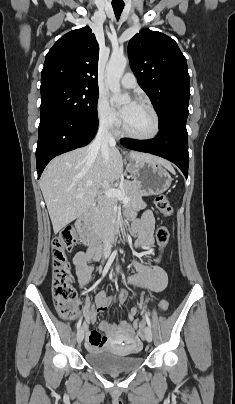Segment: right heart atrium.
Listing matches in <instances>:
<instances>
[{
  "label": "right heart atrium",
  "instance_id": "d8ad5b80",
  "mask_svg": "<svg viewBox=\"0 0 235 404\" xmlns=\"http://www.w3.org/2000/svg\"><path fill=\"white\" fill-rule=\"evenodd\" d=\"M96 116L99 125L106 131L113 132L119 127V117L103 95L97 98Z\"/></svg>",
  "mask_w": 235,
  "mask_h": 404
}]
</instances>
